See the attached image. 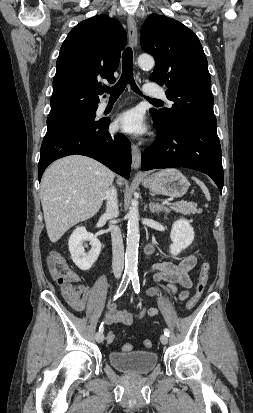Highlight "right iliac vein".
Segmentation results:
<instances>
[{"instance_id": "obj_1", "label": "right iliac vein", "mask_w": 253, "mask_h": 413, "mask_svg": "<svg viewBox=\"0 0 253 413\" xmlns=\"http://www.w3.org/2000/svg\"><path fill=\"white\" fill-rule=\"evenodd\" d=\"M95 339L98 343L103 342V340H104L103 333L102 332H97L96 335H95Z\"/></svg>"}]
</instances>
